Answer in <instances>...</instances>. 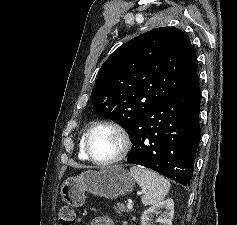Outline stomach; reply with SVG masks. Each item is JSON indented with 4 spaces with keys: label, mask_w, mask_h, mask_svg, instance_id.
Instances as JSON below:
<instances>
[{
    "label": "stomach",
    "mask_w": 237,
    "mask_h": 225,
    "mask_svg": "<svg viewBox=\"0 0 237 225\" xmlns=\"http://www.w3.org/2000/svg\"><path fill=\"white\" fill-rule=\"evenodd\" d=\"M135 182L130 173L121 166H110L99 171L87 170L76 177L64 180L60 194L73 207L85 203L89 192L107 199H116L133 192Z\"/></svg>",
    "instance_id": "stomach-1"
}]
</instances>
